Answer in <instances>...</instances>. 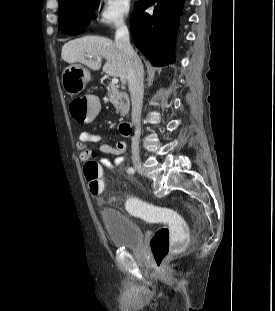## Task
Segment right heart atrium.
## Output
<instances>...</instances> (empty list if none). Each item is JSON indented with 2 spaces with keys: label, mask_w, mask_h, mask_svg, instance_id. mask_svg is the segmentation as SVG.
<instances>
[{
  "label": "right heart atrium",
  "mask_w": 275,
  "mask_h": 311,
  "mask_svg": "<svg viewBox=\"0 0 275 311\" xmlns=\"http://www.w3.org/2000/svg\"><path fill=\"white\" fill-rule=\"evenodd\" d=\"M130 0H102L96 22L106 28H120L126 23Z\"/></svg>",
  "instance_id": "right-heart-atrium-1"
}]
</instances>
